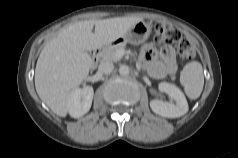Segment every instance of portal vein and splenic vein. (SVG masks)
Instances as JSON below:
<instances>
[{
  "mask_svg": "<svg viewBox=\"0 0 238 158\" xmlns=\"http://www.w3.org/2000/svg\"><path fill=\"white\" fill-rule=\"evenodd\" d=\"M123 55H124V51L123 50H118L117 51V57L118 58H122Z\"/></svg>",
  "mask_w": 238,
  "mask_h": 158,
  "instance_id": "portal-vein-and-splenic-vein-1",
  "label": "portal vein and splenic vein"
}]
</instances>
